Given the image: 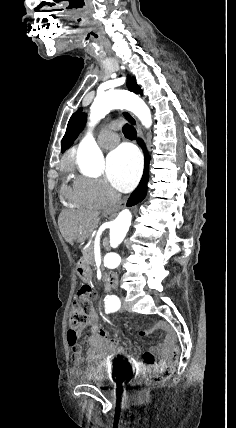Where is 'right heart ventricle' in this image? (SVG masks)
Segmentation results:
<instances>
[{"mask_svg":"<svg viewBox=\"0 0 236 428\" xmlns=\"http://www.w3.org/2000/svg\"><path fill=\"white\" fill-rule=\"evenodd\" d=\"M65 168H66L67 172L71 173L75 168V162L73 160L66 162ZM61 192L67 199L78 202L80 205H82L84 207L92 208V209L98 208V206L82 199L80 197V195L78 194L75 187H70V186H68V184H64L62 186Z\"/></svg>","mask_w":236,"mask_h":428,"instance_id":"obj_1","label":"right heart ventricle"}]
</instances>
